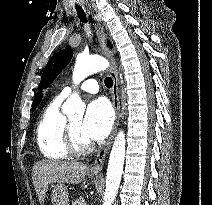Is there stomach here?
<instances>
[{
  "label": "stomach",
  "mask_w": 212,
  "mask_h": 205,
  "mask_svg": "<svg viewBox=\"0 0 212 205\" xmlns=\"http://www.w3.org/2000/svg\"><path fill=\"white\" fill-rule=\"evenodd\" d=\"M92 180H96L97 177L90 176ZM51 204L52 205H69V195L67 191V186L58 183L55 185L51 192Z\"/></svg>",
  "instance_id": "0dacf381"
}]
</instances>
